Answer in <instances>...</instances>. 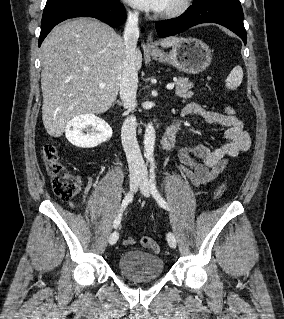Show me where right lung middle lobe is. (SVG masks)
I'll return each mask as SVG.
<instances>
[{"mask_svg":"<svg viewBox=\"0 0 284 319\" xmlns=\"http://www.w3.org/2000/svg\"><path fill=\"white\" fill-rule=\"evenodd\" d=\"M66 1H70V0H47L45 8H48V7H51V6H54L56 4L66 2ZM98 1L114 2L116 0H98Z\"/></svg>","mask_w":284,"mask_h":319,"instance_id":"dd1d6c3e","label":"right lung middle lobe"}]
</instances>
